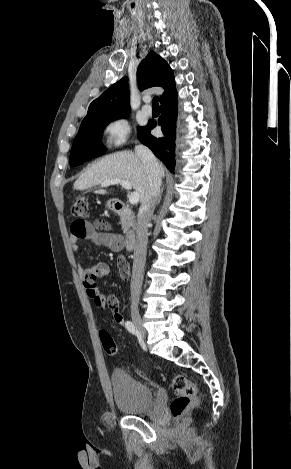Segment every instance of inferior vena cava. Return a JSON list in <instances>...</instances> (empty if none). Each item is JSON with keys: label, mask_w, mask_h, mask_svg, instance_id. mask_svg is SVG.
I'll return each instance as SVG.
<instances>
[{"label": "inferior vena cava", "mask_w": 291, "mask_h": 469, "mask_svg": "<svg viewBox=\"0 0 291 469\" xmlns=\"http://www.w3.org/2000/svg\"><path fill=\"white\" fill-rule=\"evenodd\" d=\"M135 153L141 159L148 171L149 187L143 201L141 202V207L138 213L136 243L130 283L131 303L133 306H137L139 302L146 261L148 224L160 195L161 185L159 165L153 153L144 145L136 146Z\"/></svg>", "instance_id": "inferior-vena-cava-1"}]
</instances>
